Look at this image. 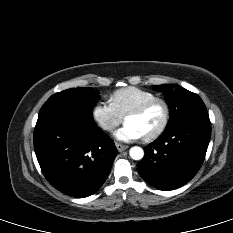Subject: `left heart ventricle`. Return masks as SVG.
<instances>
[{"label": "left heart ventricle", "mask_w": 233, "mask_h": 233, "mask_svg": "<svg viewBox=\"0 0 233 233\" xmlns=\"http://www.w3.org/2000/svg\"><path fill=\"white\" fill-rule=\"evenodd\" d=\"M164 117V109L160 103H156L139 116L126 119V123L134 125L144 136L153 133L161 125Z\"/></svg>", "instance_id": "b2bd125f"}]
</instances>
